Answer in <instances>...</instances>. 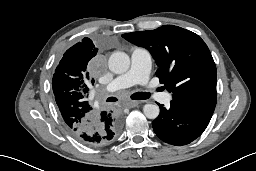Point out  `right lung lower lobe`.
I'll return each mask as SVG.
<instances>
[{
    "instance_id": "1",
    "label": "right lung lower lobe",
    "mask_w": 256,
    "mask_h": 171,
    "mask_svg": "<svg viewBox=\"0 0 256 171\" xmlns=\"http://www.w3.org/2000/svg\"><path fill=\"white\" fill-rule=\"evenodd\" d=\"M93 125L73 135L81 142L96 146L109 143L120 131L122 119L113 109L93 110Z\"/></svg>"
}]
</instances>
